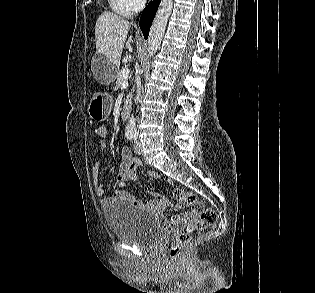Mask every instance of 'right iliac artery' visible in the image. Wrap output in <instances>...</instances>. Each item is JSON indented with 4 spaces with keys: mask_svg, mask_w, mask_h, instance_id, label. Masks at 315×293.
<instances>
[{
    "mask_svg": "<svg viewBox=\"0 0 315 293\" xmlns=\"http://www.w3.org/2000/svg\"><path fill=\"white\" fill-rule=\"evenodd\" d=\"M126 138L128 139V140H131V139H133L134 137H135V134L134 133H132V132H128V133H126Z\"/></svg>",
    "mask_w": 315,
    "mask_h": 293,
    "instance_id": "obj_1",
    "label": "right iliac artery"
}]
</instances>
